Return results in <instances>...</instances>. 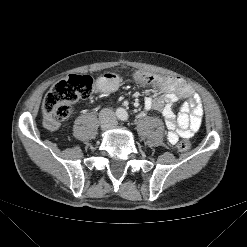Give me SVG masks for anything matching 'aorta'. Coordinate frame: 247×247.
<instances>
[{
    "label": "aorta",
    "mask_w": 247,
    "mask_h": 247,
    "mask_svg": "<svg viewBox=\"0 0 247 247\" xmlns=\"http://www.w3.org/2000/svg\"><path fill=\"white\" fill-rule=\"evenodd\" d=\"M125 113V111L124 110H122V114H124Z\"/></svg>",
    "instance_id": "762f6f07"
}]
</instances>
